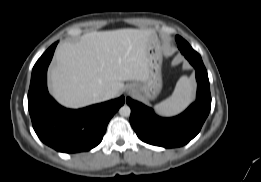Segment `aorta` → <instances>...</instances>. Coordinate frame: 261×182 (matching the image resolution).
Segmentation results:
<instances>
[{"label": "aorta", "mask_w": 261, "mask_h": 182, "mask_svg": "<svg viewBox=\"0 0 261 182\" xmlns=\"http://www.w3.org/2000/svg\"><path fill=\"white\" fill-rule=\"evenodd\" d=\"M131 113V109L128 105H123L120 109H119V114L123 117H128L130 116Z\"/></svg>", "instance_id": "1"}]
</instances>
